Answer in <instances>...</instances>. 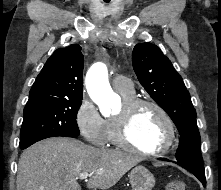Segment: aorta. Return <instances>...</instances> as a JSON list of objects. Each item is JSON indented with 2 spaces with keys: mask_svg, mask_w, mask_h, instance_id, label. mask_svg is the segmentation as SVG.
Returning <instances> with one entry per match:
<instances>
[{
  "mask_svg": "<svg viewBox=\"0 0 221 190\" xmlns=\"http://www.w3.org/2000/svg\"><path fill=\"white\" fill-rule=\"evenodd\" d=\"M86 89L90 98L98 105L101 114L108 117L118 97L109 84L105 64L98 62L91 66L86 75Z\"/></svg>",
  "mask_w": 221,
  "mask_h": 190,
  "instance_id": "obj_1",
  "label": "aorta"
}]
</instances>
